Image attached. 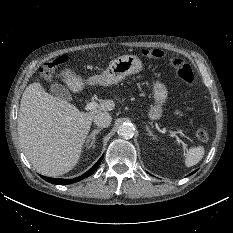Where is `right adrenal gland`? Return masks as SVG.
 <instances>
[{"label":"right adrenal gland","instance_id":"right-adrenal-gland-1","mask_svg":"<svg viewBox=\"0 0 233 233\" xmlns=\"http://www.w3.org/2000/svg\"><path fill=\"white\" fill-rule=\"evenodd\" d=\"M102 129H95L91 132V134L88 136V140L87 142L89 143L90 141V144H89V147H91L92 145H94L95 143V137L96 135L101 131Z\"/></svg>","mask_w":233,"mask_h":233}]
</instances>
